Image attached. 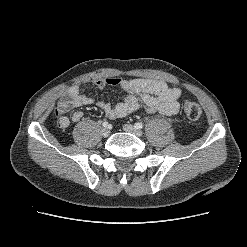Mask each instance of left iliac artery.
<instances>
[{"label":"left iliac artery","instance_id":"left-iliac-artery-1","mask_svg":"<svg viewBox=\"0 0 247 247\" xmlns=\"http://www.w3.org/2000/svg\"><path fill=\"white\" fill-rule=\"evenodd\" d=\"M134 127L136 129H141V128H143V124L141 122H137V123L134 124Z\"/></svg>","mask_w":247,"mask_h":247}]
</instances>
